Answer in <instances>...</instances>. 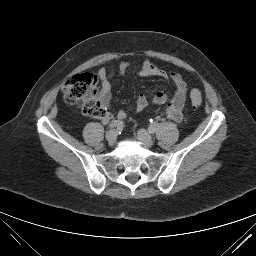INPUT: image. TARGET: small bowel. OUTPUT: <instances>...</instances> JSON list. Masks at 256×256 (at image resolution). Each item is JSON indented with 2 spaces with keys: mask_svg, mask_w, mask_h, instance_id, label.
<instances>
[{
  "mask_svg": "<svg viewBox=\"0 0 256 256\" xmlns=\"http://www.w3.org/2000/svg\"><path fill=\"white\" fill-rule=\"evenodd\" d=\"M127 66V62L121 63L119 66V73H124ZM138 74L144 78L159 77L162 79L171 80L173 82L175 91L172 97H169L168 94L164 91H159L153 96L152 103L155 105L164 106L166 116L175 122H180L183 118L182 111L188 93L187 83L182 75L175 71L167 72L158 64L150 61L149 59H145L143 61L139 68ZM98 75L101 80V90L97 95V99L106 108V114L103 117V121L108 122L114 118V114L109 111L112 101L111 74L106 69L101 68L98 72ZM149 103L150 101L145 94H139L136 100V111L140 112L144 110L149 105ZM116 117L117 119L122 120L126 117V112L124 110H120L117 112Z\"/></svg>",
  "mask_w": 256,
  "mask_h": 256,
  "instance_id": "obj_1",
  "label": "small bowel"
}]
</instances>
